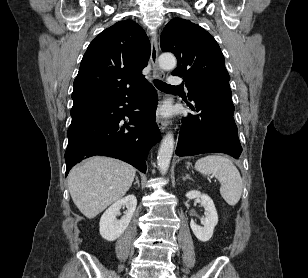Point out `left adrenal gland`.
Instances as JSON below:
<instances>
[{"label":"left adrenal gland","instance_id":"1","mask_svg":"<svg viewBox=\"0 0 308 278\" xmlns=\"http://www.w3.org/2000/svg\"><path fill=\"white\" fill-rule=\"evenodd\" d=\"M187 179L193 180V179L190 177L189 174H187V175L183 178L184 181L187 180Z\"/></svg>","mask_w":308,"mask_h":278}]
</instances>
